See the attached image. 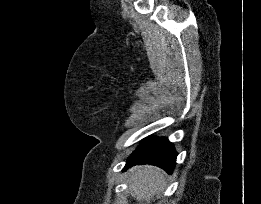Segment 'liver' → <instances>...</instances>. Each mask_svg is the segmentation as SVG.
<instances>
[{
  "instance_id": "1",
  "label": "liver",
  "mask_w": 261,
  "mask_h": 204,
  "mask_svg": "<svg viewBox=\"0 0 261 204\" xmlns=\"http://www.w3.org/2000/svg\"><path fill=\"white\" fill-rule=\"evenodd\" d=\"M129 191L136 200H150L159 195L165 186L164 174L154 166H135L129 170Z\"/></svg>"
}]
</instances>
